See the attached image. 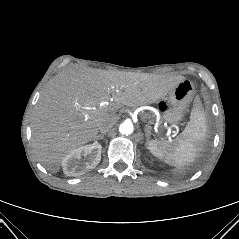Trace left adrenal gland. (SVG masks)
Segmentation results:
<instances>
[{
    "instance_id": "left-adrenal-gland-1",
    "label": "left adrenal gland",
    "mask_w": 239,
    "mask_h": 239,
    "mask_svg": "<svg viewBox=\"0 0 239 239\" xmlns=\"http://www.w3.org/2000/svg\"><path fill=\"white\" fill-rule=\"evenodd\" d=\"M145 136H146V145H147V142L149 141L151 136V127L148 124L145 126Z\"/></svg>"
}]
</instances>
